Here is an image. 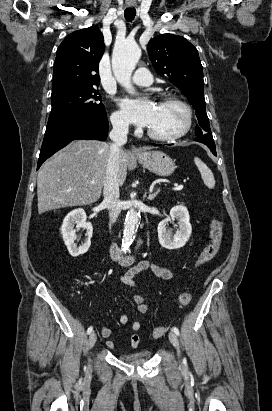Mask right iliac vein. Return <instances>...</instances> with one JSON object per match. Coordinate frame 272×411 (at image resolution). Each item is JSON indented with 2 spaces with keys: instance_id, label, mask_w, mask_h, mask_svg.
I'll list each match as a JSON object with an SVG mask.
<instances>
[{
  "instance_id": "63e3f726",
  "label": "right iliac vein",
  "mask_w": 272,
  "mask_h": 411,
  "mask_svg": "<svg viewBox=\"0 0 272 411\" xmlns=\"http://www.w3.org/2000/svg\"><path fill=\"white\" fill-rule=\"evenodd\" d=\"M96 340H97L96 333L92 332L89 336L88 343H87L88 349H91L94 346Z\"/></svg>"
}]
</instances>
